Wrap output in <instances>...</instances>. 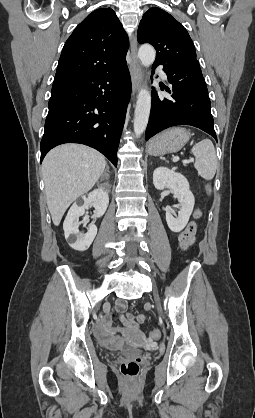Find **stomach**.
Returning <instances> with one entry per match:
<instances>
[{"mask_svg": "<svg viewBox=\"0 0 255 418\" xmlns=\"http://www.w3.org/2000/svg\"><path fill=\"white\" fill-rule=\"evenodd\" d=\"M190 133L182 127H173L163 131L148 144L151 155H163L179 151L189 141Z\"/></svg>", "mask_w": 255, "mask_h": 418, "instance_id": "stomach-1", "label": "stomach"}]
</instances>
